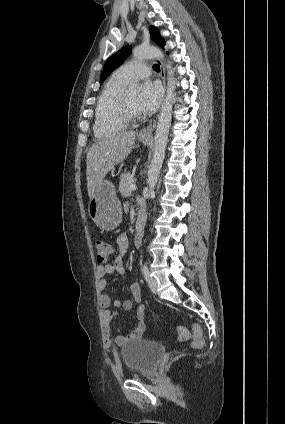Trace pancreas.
I'll list each match as a JSON object with an SVG mask.
<instances>
[{"label": "pancreas", "mask_w": 285, "mask_h": 424, "mask_svg": "<svg viewBox=\"0 0 285 424\" xmlns=\"http://www.w3.org/2000/svg\"><path fill=\"white\" fill-rule=\"evenodd\" d=\"M133 181L134 179L131 174L126 173L123 175L119 182V192L122 196L128 197L131 194L132 190H130V186L133 184Z\"/></svg>", "instance_id": "1"}]
</instances>
